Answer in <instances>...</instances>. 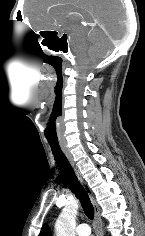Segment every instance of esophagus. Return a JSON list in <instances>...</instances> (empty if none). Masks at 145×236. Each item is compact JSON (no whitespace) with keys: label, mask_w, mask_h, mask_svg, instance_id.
I'll use <instances>...</instances> for the list:
<instances>
[{"label":"esophagus","mask_w":145,"mask_h":236,"mask_svg":"<svg viewBox=\"0 0 145 236\" xmlns=\"http://www.w3.org/2000/svg\"><path fill=\"white\" fill-rule=\"evenodd\" d=\"M60 147H61L63 153L65 154L67 160L69 161L71 167L73 168L77 178L79 179L80 182L83 183L81 173H80L78 167L76 166L67 146L64 143H60ZM89 196H90L91 202L95 208V234H96V236H103L102 220L99 215L98 205L96 204V201H95L93 195L90 194Z\"/></svg>","instance_id":"34e87169"}]
</instances>
